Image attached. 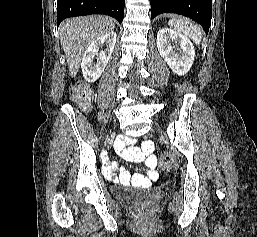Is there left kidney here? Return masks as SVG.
I'll return each instance as SVG.
<instances>
[{"mask_svg": "<svg viewBox=\"0 0 257 237\" xmlns=\"http://www.w3.org/2000/svg\"><path fill=\"white\" fill-rule=\"evenodd\" d=\"M156 42L159 54L174 73L182 76L190 70L195 49L185 35L163 28L158 31Z\"/></svg>", "mask_w": 257, "mask_h": 237, "instance_id": "1", "label": "left kidney"}]
</instances>
